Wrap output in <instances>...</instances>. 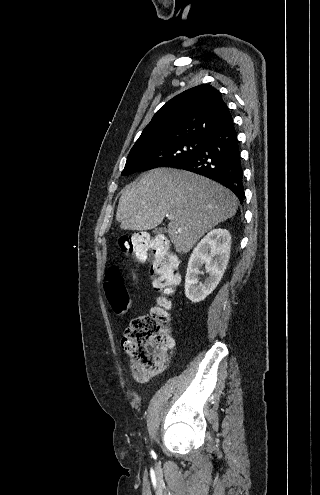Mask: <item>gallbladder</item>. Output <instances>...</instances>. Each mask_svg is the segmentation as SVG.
Wrapping results in <instances>:
<instances>
[{
	"mask_svg": "<svg viewBox=\"0 0 320 495\" xmlns=\"http://www.w3.org/2000/svg\"><path fill=\"white\" fill-rule=\"evenodd\" d=\"M154 232H155L156 234H158V233H163V232H164V229H163V228H157V229H155V231H154Z\"/></svg>",
	"mask_w": 320,
	"mask_h": 495,
	"instance_id": "1",
	"label": "gallbladder"
}]
</instances>
